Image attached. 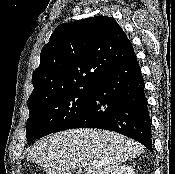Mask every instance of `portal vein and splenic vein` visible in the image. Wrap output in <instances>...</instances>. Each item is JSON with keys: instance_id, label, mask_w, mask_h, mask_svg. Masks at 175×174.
<instances>
[{"instance_id": "portal-vein-and-splenic-vein-1", "label": "portal vein and splenic vein", "mask_w": 175, "mask_h": 174, "mask_svg": "<svg viewBox=\"0 0 175 174\" xmlns=\"http://www.w3.org/2000/svg\"><path fill=\"white\" fill-rule=\"evenodd\" d=\"M83 167L86 168V169H88V165L86 163L83 164Z\"/></svg>"}]
</instances>
